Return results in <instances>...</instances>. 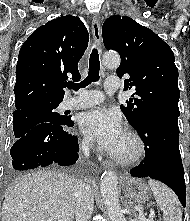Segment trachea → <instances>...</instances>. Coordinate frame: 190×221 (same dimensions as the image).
Masks as SVG:
<instances>
[{
	"instance_id": "trachea-1",
	"label": "trachea",
	"mask_w": 190,
	"mask_h": 221,
	"mask_svg": "<svg viewBox=\"0 0 190 221\" xmlns=\"http://www.w3.org/2000/svg\"><path fill=\"white\" fill-rule=\"evenodd\" d=\"M99 70H100L99 54L97 49L94 48L90 54L88 76L80 83H69L67 87L69 89L77 91L80 88H85L92 82L99 81L100 78Z\"/></svg>"
}]
</instances>
